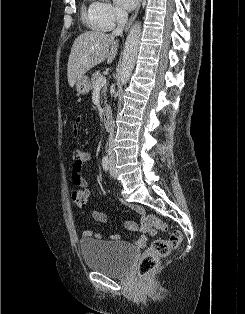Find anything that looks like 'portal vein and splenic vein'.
<instances>
[{
	"label": "portal vein and splenic vein",
	"mask_w": 245,
	"mask_h": 314,
	"mask_svg": "<svg viewBox=\"0 0 245 314\" xmlns=\"http://www.w3.org/2000/svg\"><path fill=\"white\" fill-rule=\"evenodd\" d=\"M106 77H100V78H98L97 79V81H96V85H95V87L96 88H101V87H103L105 84H106Z\"/></svg>",
	"instance_id": "obj_1"
}]
</instances>
